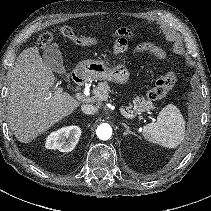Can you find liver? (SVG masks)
<instances>
[{"label": "liver", "instance_id": "1", "mask_svg": "<svg viewBox=\"0 0 211 211\" xmlns=\"http://www.w3.org/2000/svg\"><path fill=\"white\" fill-rule=\"evenodd\" d=\"M55 79L36 46L23 50L14 63L7 116L9 126L20 142L32 141L80 105L56 85Z\"/></svg>", "mask_w": 211, "mask_h": 211}]
</instances>
